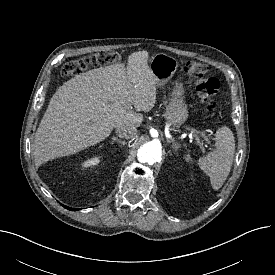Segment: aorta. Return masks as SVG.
I'll list each match as a JSON object with an SVG mask.
<instances>
[{
  "instance_id": "762f6f07",
  "label": "aorta",
  "mask_w": 275,
  "mask_h": 275,
  "mask_svg": "<svg viewBox=\"0 0 275 275\" xmlns=\"http://www.w3.org/2000/svg\"><path fill=\"white\" fill-rule=\"evenodd\" d=\"M162 150L161 146L156 142H148L143 144L137 153L139 162L153 165L161 160Z\"/></svg>"
}]
</instances>
